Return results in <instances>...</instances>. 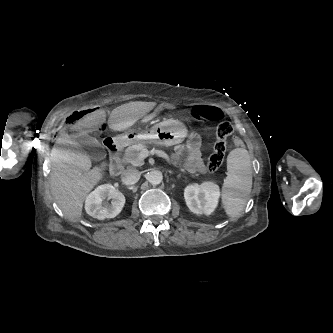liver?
<instances>
[{
	"label": "liver",
	"mask_w": 333,
	"mask_h": 333,
	"mask_svg": "<svg viewBox=\"0 0 333 333\" xmlns=\"http://www.w3.org/2000/svg\"><path fill=\"white\" fill-rule=\"evenodd\" d=\"M155 102H129L112 110L109 127L124 131L150 112ZM106 121V111L97 109L77 120L71 131L89 134ZM90 156L79 148L67 131H62L51 152L50 191L65 217L77 222L82 217L83 203L87 194L101 177L98 168H91Z\"/></svg>",
	"instance_id": "obj_1"
}]
</instances>
